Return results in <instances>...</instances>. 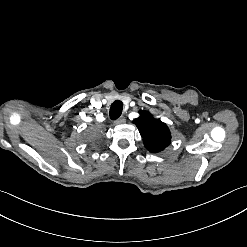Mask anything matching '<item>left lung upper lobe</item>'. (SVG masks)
<instances>
[{"label":"left lung upper lobe","instance_id":"obj_1","mask_svg":"<svg viewBox=\"0 0 247 247\" xmlns=\"http://www.w3.org/2000/svg\"><path fill=\"white\" fill-rule=\"evenodd\" d=\"M143 138L145 147L152 153L164 150L171 142V134L166 126L159 119L147 111H140V117L133 120Z\"/></svg>","mask_w":247,"mask_h":247}]
</instances>
